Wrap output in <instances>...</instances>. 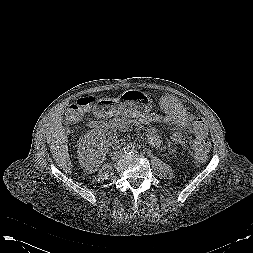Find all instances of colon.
<instances>
[{
  "label": "colon",
  "mask_w": 253,
  "mask_h": 253,
  "mask_svg": "<svg viewBox=\"0 0 253 253\" xmlns=\"http://www.w3.org/2000/svg\"><path fill=\"white\" fill-rule=\"evenodd\" d=\"M94 102L93 97H83L77 99L75 102L69 105L65 112V120L69 124H75L79 122L85 114L90 110ZM203 127V137L200 142H202L206 149L207 152L209 151L210 148V141L207 136V126L206 123L203 119H197Z\"/></svg>",
  "instance_id": "1"
}]
</instances>
